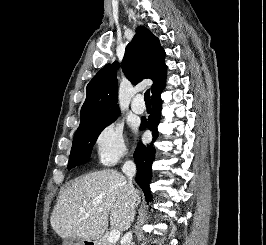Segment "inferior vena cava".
Instances as JSON below:
<instances>
[{
  "label": "inferior vena cava",
  "instance_id": "inferior-vena-cava-1",
  "mask_svg": "<svg viewBox=\"0 0 266 245\" xmlns=\"http://www.w3.org/2000/svg\"><path fill=\"white\" fill-rule=\"evenodd\" d=\"M122 171L124 175H126V179L128 181L129 195H131V199H135L136 191L132 183V179L136 175L135 163H133V161H126L122 167ZM133 207H135V205H133ZM122 243L123 245H132V233H126L122 239Z\"/></svg>",
  "mask_w": 266,
  "mask_h": 245
}]
</instances>
